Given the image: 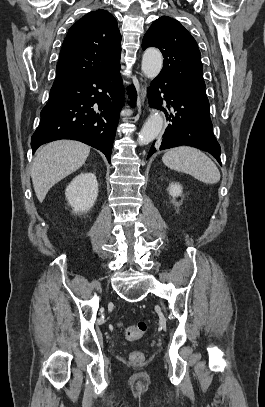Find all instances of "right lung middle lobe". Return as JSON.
I'll return each mask as SVG.
<instances>
[{"instance_id": "right-lung-middle-lobe-1", "label": "right lung middle lobe", "mask_w": 265, "mask_h": 407, "mask_svg": "<svg viewBox=\"0 0 265 407\" xmlns=\"http://www.w3.org/2000/svg\"><path fill=\"white\" fill-rule=\"evenodd\" d=\"M63 88H65V87H52L51 90H50V94L55 93L57 91H60Z\"/></svg>"}]
</instances>
